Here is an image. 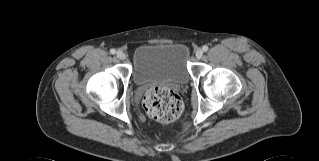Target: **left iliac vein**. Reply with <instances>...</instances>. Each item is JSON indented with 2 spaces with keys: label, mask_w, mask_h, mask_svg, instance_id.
I'll return each instance as SVG.
<instances>
[{
  "label": "left iliac vein",
  "mask_w": 319,
  "mask_h": 161,
  "mask_svg": "<svg viewBox=\"0 0 319 161\" xmlns=\"http://www.w3.org/2000/svg\"><path fill=\"white\" fill-rule=\"evenodd\" d=\"M195 55H196L197 58H201L202 55H203V50L202 49H197Z\"/></svg>",
  "instance_id": "left-iliac-vein-1"
}]
</instances>
